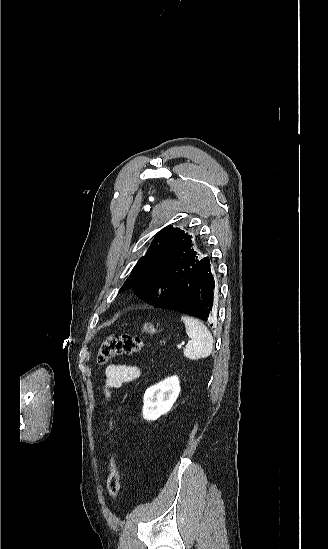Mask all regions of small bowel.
I'll return each mask as SVG.
<instances>
[{
    "label": "small bowel",
    "instance_id": "1",
    "mask_svg": "<svg viewBox=\"0 0 328 549\" xmlns=\"http://www.w3.org/2000/svg\"><path fill=\"white\" fill-rule=\"evenodd\" d=\"M141 370L137 365L110 364L105 369L104 394L110 399L111 390L136 380Z\"/></svg>",
    "mask_w": 328,
    "mask_h": 549
}]
</instances>
